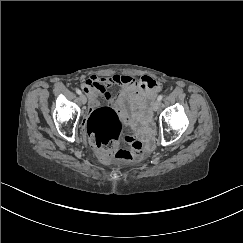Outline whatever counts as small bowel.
<instances>
[{
  "instance_id": "obj_1",
  "label": "small bowel",
  "mask_w": 243,
  "mask_h": 243,
  "mask_svg": "<svg viewBox=\"0 0 243 243\" xmlns=\"http://www.w3.org/2000/svg\"><path fill=\"white\" fill-rule=\"evenodd\" d=\"M116 84L119 92L112 97L108 88ZM89 97L90 109L98 105V97L102 95L116 110L120 118L129 124H134L139 117V109L144 100H152L160 91L159 84L150 76L136 80L126 75H113L107 78L89 77L82 85Z\"/></svg>"
}]
</instances>
